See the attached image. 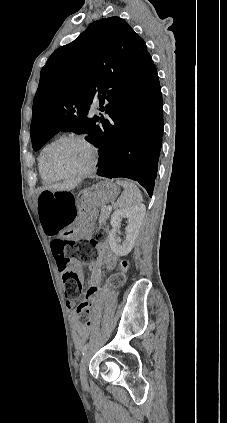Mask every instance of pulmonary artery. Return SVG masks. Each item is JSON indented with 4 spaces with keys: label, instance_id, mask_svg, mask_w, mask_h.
I'll list each match as a JSON object with an SVG mask.
<instances>
[{
    "label": "pulmonary artery",
    "instance_id": "1",
    "mask_svg": "<svg viewBox=\"0 0 227 423\" xmlns=\"http://www.w3.org/2000/svg\"><path fill=\"white\" fill-rule=\"evenodd\" d=\"M95 113H96V109L94 107H92V109L90 110V113L89 112H84L83 113V118L84 119H89L90 118V115L93 116Z\"/></svg>",
    "mask_w": 227,
    "mask_h": 423
}]
</instances>
